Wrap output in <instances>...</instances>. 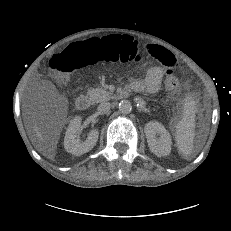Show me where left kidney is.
<instances>
[{
    "label": "left kidney",
    "instance_id": "left-kidney-1",
    "mask_svg": "<svg viewBox=\"0 0 231 231\" xmlns=\"http://www.w3.org/2000/svg\"><path fill=\"white\" fill-rule=\"evenodd\" d=\"M144 131L152 153L158 157L170 154L172 144L171 136L161 123L150 121L146 123Z\"/></svg>",
    "mask_w": 231,
    "mask_h": 231
}]
</instances>
